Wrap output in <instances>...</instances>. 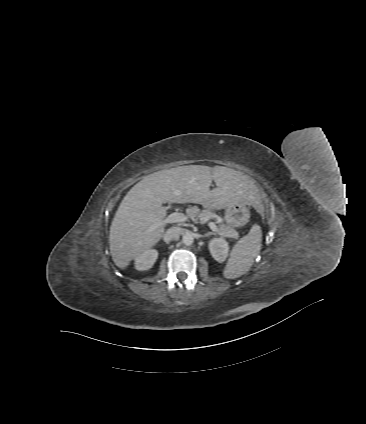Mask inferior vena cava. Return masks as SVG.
I'll use <instances>...</instances> for the list:
<instances>
[{
  "label": "inferior vena cava",
  "mask_w": 366,
  "mask_h": 424,
  "mask_svg": "<svg viewBox=\"0 0 366 424\" xmlns=\"http://www.w3.org/2000/svg\"><path fill=\"white\" fill-rule=\"evenodd\" d=\"M182 233V229L179 227H172L168 229L165 234L163 235L164 242L168 243L180 236Z\"/></svg>",
  "instance_id": "1"
}]
</instances>
